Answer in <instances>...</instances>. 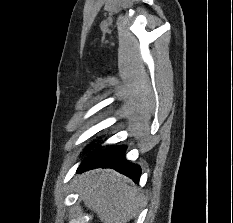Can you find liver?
I'll use <instances>...</instances> for the list:
<instances>
[{
  "label": "liver",
  "instance_id": "1",
  "mask_svg": "<svg viewBox=\"0 0 233 223\" xmlns=\"http://www.w3.org/2000/svg\"><path fill=\"white\" fill-rule=\"evenodd\" d=\"M114 169H90L81 173L77 183L82 201L102 223H127L134 217L144 197Z\"/></svg>",
  "mask_w": 233,
  "mask_h": 223
}]
</instances>
